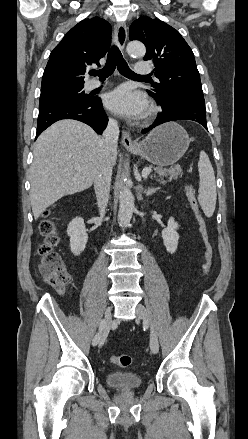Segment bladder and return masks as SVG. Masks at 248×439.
I'll use <instances>...</instances> for the list:
<instances>
[{
  "label": "bladder",
  "instance_id": "1",
  "mask_svg": "<svg viewBox=\"0 0 248 439\" xmlns=\"http://www.w3.org/2000/svg\"><path fill=\"white\" fill-rule=\"evenodd\" d=\"M105 380L110 387L119 390H136L143 384L142 376L135 372H110Z\"/></svg>",
  "mask_w": 248,
  "mask_h": 439
}]
</instances>
